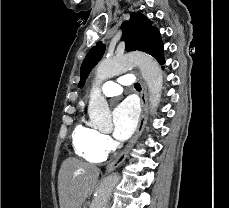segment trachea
<instances>
[{
	"mask_svg": "<svg viewBox=\"0 0 229 208\" xmlns=\"http://www.w3.org/2000/svg\"><path fill=\"white\" fill-rule=\"evenodd\" d=\"M134 87H135V88H141V87H140V83H135V84H134Z\"/></svg>",
	"mask_w": 229,
	"mask_h": 208,
	"instance_id": "trachea-1",
	"label": "trachea"
}]
</instances>
